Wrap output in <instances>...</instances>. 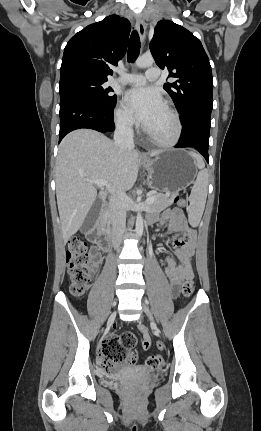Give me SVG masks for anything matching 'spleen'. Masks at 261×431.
I'll use <instances>...</instances> for the list:
<instances>
[{
  "instance_id": "3e777b00",
  "label": "spleen",
  "mask_w": 261,
  "mask_h": 431,
  "mask_svg": "<svg viewBox=\"0 0 261 431\" xmlns=\"http://www.w3.org/2000/svg\"><path fill=\"white\" fill-rule=\"evenodd\" d=\"M190 155L197 162V167L200 169L198 172L196 181L192 187L190 201V211L195 216H202L208 189V173L205 169V163L200 155L194 152H190Z\"/></svg>"
}]
</instances>
